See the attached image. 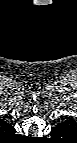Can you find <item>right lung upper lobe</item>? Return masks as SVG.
<instances>
[{
    "label": "right lung upper lobe",
    "mask_w": 77,
    "mask_h": 143,
    "mask_svg": "<svg viewBox=\"0 0 77 143\" xmlns=\"http://www.w3.org/2000/svg\"><path fill=\"white\" fill-rule=\"evenodd\" d=\"M1 128H2L4 131L9 132V133L15 132L14 127H13L11 124H8V123L5 122V121H2V122H1Z\"/></svg>",
    "instance_id": "cb5924a9"
}]
</instances>
